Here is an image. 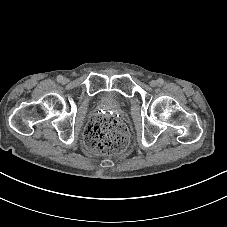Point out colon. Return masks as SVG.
Segmentation results:
<instances>
[{"instance_id": "obj_1", "label": "colon", "mask_w": 227, "mask_h": 227, "mask_svg": "<svg viewBox=\"0 0 227 227\" xmlns=\"http://www.w3.org/2000/svg\"><path fill=\"white\" fill-rule=\"evenodd\" d=\"M85 144L96 154H120L128 144L127 128L115 118L106 115L96 116L85 130Z\"/></svg>"}]
</instances>
